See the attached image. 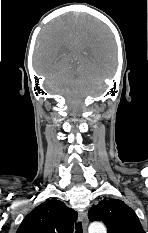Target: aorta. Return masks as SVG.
<instances>
[{
    "instance_id": "aorta-1",
    "label": "aorta",
    "mask_w": 148,
    "mask_h": 233,
    "mask_svg": "<svg viewBox=\"0 0 148 233\" xmlns=\"http://www.w3.org/2000/svg\"><path fill=\"white\" fill-rule=\"evenodd\" d=\"M89 233H107L106 227L101 222H93L88 228Z\"/></svg>"
}]
</instances>
